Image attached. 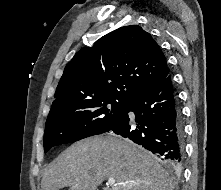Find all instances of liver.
I'll return each instance as SVG.
<instances>
[{
  "label": "liver",
  "mask_w": 221,
  "mask_h": 190,
  "mask_svg": "<svg viewBox=\"0 0 221 190\" xmlns=\"http://www.w3.org/2000/svg\"><path fill=\"white\" fill-rule=\"evenodd\" d=\"M106 178L116 184L103 190H173L174 182L155 158L114 134L79 141L64 150L45 171L42 190H97Z\"/></svg>",
  "instance_id": "liver-1"
}]
</instances>
